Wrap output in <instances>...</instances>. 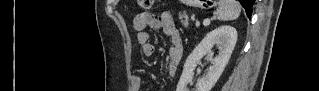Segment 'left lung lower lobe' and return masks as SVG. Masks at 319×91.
I'll list each match as a JSON object with an SVG mask.
<instances>
[{
  "instance_id": "0a47b994",
  "label": "left lung lower lobe",
  "mask_w": 319,
  "mask_h": 91,
  "mask_svg": "<svg viewBox=\"0 0 319 91\" xmlns=\"http://www.w3.org/2000/svg\"><path fill=\"white\" fill-rule=\"evenodd\" d=\"M241 5L245 8L246 14L248 18H251L252 15V6L255 2V0H238Z\"/></svg>"
}]
</instances>
